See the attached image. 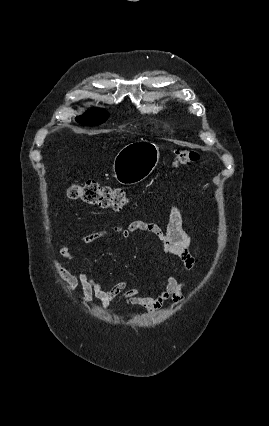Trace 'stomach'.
<instances>
[{
  "label": "stomach",
  "instance_id": "0dacf381",
  "mask_svg": "<svg viewBox=\"0 0 269 426\" xmlns=\"http://www.w3.org/2000/svg\"><path fill=\"white\" fill-rule=\"evenodd\" d=\"M159 147L147 140L123 147L113 162L114 177L120 184L133 185L146 179L159 162Z\"/></svg>",
  "mask_w": 269,
  "mask_h": 426
}]
</instances>
